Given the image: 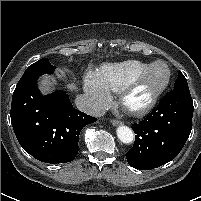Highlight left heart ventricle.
<instances>
[{"mask_svg":"<svg viewBox=\"0 0 201 201\" xmlns=\"http://www.w3.org/2000/svg\"><path fill=\"white\" fill-rule=\"evenodd\" d=\"M166 77V67L162 64L156 65L135 89L131 96V101L133 103L144 101L152 91L160 87L165 82Z\"/></svg>","mask_w":201,"mask_h":201,"instance_id":"left-heart-ventricle-1","label":"left heart ventricle"}]
</instances>
